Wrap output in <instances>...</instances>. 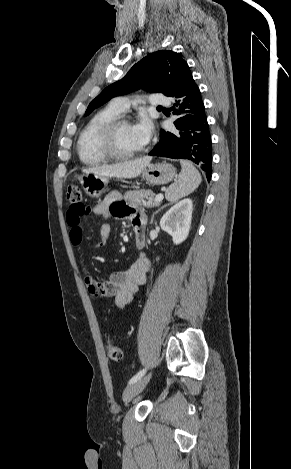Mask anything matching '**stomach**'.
<instances>
[{"instance_id":"stomach-1","label":"stomach","mask_w":291,"mask_h":469,"mask_svg":"<svg viewBox=\"0 0 291 469\" xmlns=\"http://www.w3.org/2000/svg\"><path fill=\"white\" fill-rule=\"evenodd\" d=\"M176 176L175 167L168 163L149 164L142 172V177L152 185L167 184ZM80 182L90 197L98 198L105 193L109 180L108 177L89 173L85 174Z\"/></svg>"}]
</instances>
